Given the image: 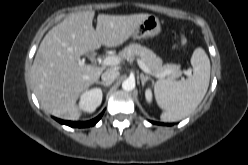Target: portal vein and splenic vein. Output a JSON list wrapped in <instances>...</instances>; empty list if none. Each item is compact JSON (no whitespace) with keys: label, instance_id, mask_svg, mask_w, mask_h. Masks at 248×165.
I'll return each mask as SVG.
<instances>
[{"label":"portal vein and splenic vein","instance_id":"portal-vein-and-splenic-vein-1","mask_svg":"<svg viewBox=\"0 0 248 165\" xmlns=\"http://www.w3.org/2000/svg\"><path fill=\"white\" fill-rule=\"evenodd\" d=\"M102 63L104 65H118L120 63V60L115 57V56H107L103 59ZM137 63L139 67L146 73V74H152L150 69L145 65V63L141 59H137ZM186 75L190 76L191 72L190 71H185L184 72ZM158 77V76H156Z\"/></svg>","mask_w":248,"mask_h":165}]
</instances>
